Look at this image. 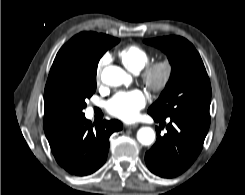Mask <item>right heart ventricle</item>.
Masks as SVG:
<instances>
[{
    "label": "right heart ventricle",
    "mask_w": 245,
    "mask_h": 195,
    "mask_svg": "<svg viewBox=\"0 0 245 195\" xmlns=\"http://www.w3.org/2000/svg\"><path fill=\"white\" fill-rule=\"evenodd\" d=\"M118 57L122 64L133 73L143 70L151 60L149 52L139 45H128L120 49Z\"/></svg>",
    "instance_id": "obj_1"
}]
</instances>
